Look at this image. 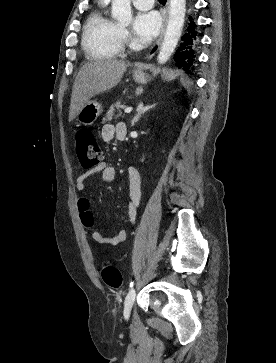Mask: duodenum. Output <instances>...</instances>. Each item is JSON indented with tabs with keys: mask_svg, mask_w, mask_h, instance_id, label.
Instances as JSON below:
<instances>
[{
	"mask_svg": "<svg viewBox=\"0 0 276 363\" xmlns=\"http://www.w3.org/2000/svg\"><path fill=\"white\" fill-rule=\"evenodd\" d=\"M125 138H126V134H123V135L120 136L121 140H124Z\"/></svg>",
	"mask_w": 276,
	"mask_h": 363,
	"instance_id": "410a0bca",
	"label": "duodenum"
}]
</instances>
